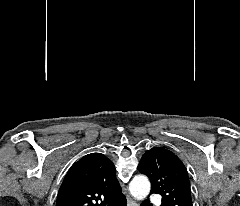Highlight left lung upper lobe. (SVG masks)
I'll return each mask as SVG.
<instances>
[{
    "mask_svg": "<svg viewBox=\"0 0 240 206\" xmlns=\"http://www.w3.org/2000/svg\"><path fill=\"white\" fill-rule=\"evenodd\" d=\"M137 169L151 180V193L162 196L161 206H193L187 170L171 151L162 147L146 151Z\"/></svg>",
    "mask_w": 240,
    "mask_h": 206,
    "instance_id": "1",
    "label": "left lung upper lobe"
}]
</instances>
